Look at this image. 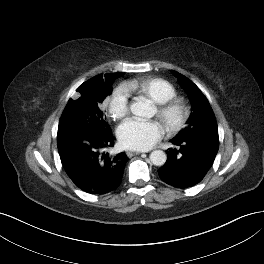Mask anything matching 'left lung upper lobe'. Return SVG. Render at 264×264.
Here are the masks:
<instances>
[{
  "mask_svg": "<svg viewBox=\"0 0 264 264\" xmlns=\"http://www.w3.org/2000/svg\"><path fill=\"white\" fill-rule=\"evenodd\" d=\"M172 73L179 79L191 101V114L182 129L173 139H184L196 135L218 137V127L212 108L200 89L188 78L176 71Z\"/></svg>",
  "mask_w": 264,
  "mask_h": 264,
  "instance_id": "1",
  "label": "left lung upper lobe"
}]
</instances>
